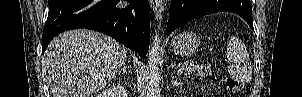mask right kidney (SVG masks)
Instances as JSON below:
<instances>
[{
    "instance_id": "1",
    "label": "right kidney",
    "mask_w": 302,
    "mask_h": 97,
    "mask_svg": "<svg viewBox=\"0 0 302 97\" xmlns=\"http://www.w3.org/2000/svg\"><path fill=\"white\" fill-rule=\"evenodd\" d=\"M114 93L116 95H119V97H127V94L124 90V87H122L121 85H118L117 87H114ZM109 96V92H103V93H99V95H97V97H108Z\"/></svg>"
}]
</instances>
